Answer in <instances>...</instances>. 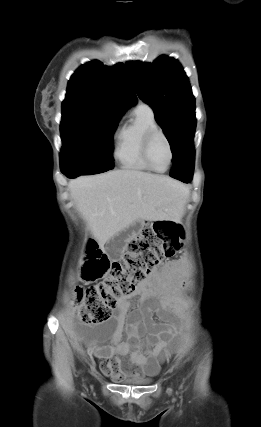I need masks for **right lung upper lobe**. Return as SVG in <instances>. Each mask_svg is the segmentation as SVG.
Instances as JSON below:
<instances>
[{"label": "right lung upper lobe", "instance_id": "obj_1", "mask_svg": "<svg viewBox=\"0 0 261 427\" xmlns=\"http://www.w3.org/2000/svg\"><path fill=\"white\" fill-rule=\"evenodd\" d=\"M134 103L136 95L127 67L92 61L71 76L62 112L84 110L121 118Z\"/></svg>", "mask_w": 261, "mask_h": 427}]
</instances>
